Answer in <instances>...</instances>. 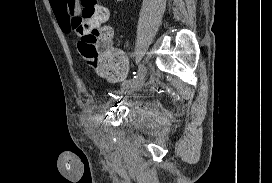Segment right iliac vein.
Segmentation results:
<instances>
[{
  "mask_svg": "<svg viewBox=\"0 0 272 183\" xmlns=\"http://www.w3.org/2000/svg\"><path fill=\"white\" fill-rule=\"evenodd\" d=\"M141 71L142 74L137 81H125L122 83L121 92H132L142 86L146 71L144 69H141Z\"/></svg>",
  "mask_w": 272,
  "mask_h": 183,
  "instance_id": "obj_1",
  "label": "right iliac vein"
}]
</instances>
